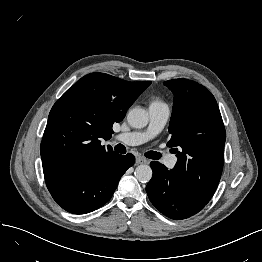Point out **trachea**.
Here are the masks:
<instances>
[{"mask_svg": "<svg viewBox=\"0 0 262 262\" xmlns=\"http://www.w3.org/2000/svg\"><path fill=\"white\" fill-rule=\"evenodd\" d=\"M115 151L124 154L126 153V148L122 144H117L115 146ZM145 156L150 159H159L161 157V154L159 152L148 151L145 153Z\"/></svg>", "mask_w": 262, "mask_h": 262, "instance_id": "3493384b", "label": "trachea"}]
</instances>
